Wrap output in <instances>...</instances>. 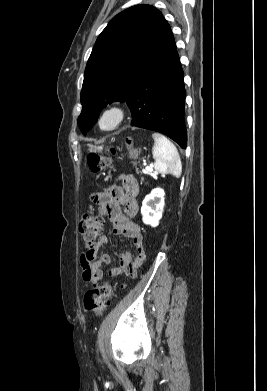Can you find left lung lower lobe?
Returning <instances> with one entry per match:
<instances>
[{"instance_id": "0a47b994", "label": "left lung lower lobe", "mask_w": 267, "mask_h": 391, "mask_svg": "<svg viewBox=\"0 0 267 391\" xmlns=\"http://www.w3.org/2000/svg\"><path fill=\"white\" fill-rule=\"evenodd\" d=\"M183 70L173 41L150 65L126 100L131 125L160 132L186 148Z\"/></svg>"}]
</instances>
